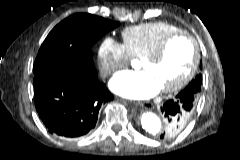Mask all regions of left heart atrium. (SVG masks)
<instances>
[{
  "label": "left heart atrium",
  "instance_id": "obj_1",
  "mask_svg": "<svg viewBox=\"0 0 240 160\" xmlns=\"http://www.w3.org/2000/svg\"><path fill=\"white\" fill-rule=\"evenodd\" d=\"M113 92L132 99H148L156 95L159 84L148 71H121L109 83Z\"/></svg>",
  "mask_w": 240,
  "mask_h": 160
}]
</instances>
